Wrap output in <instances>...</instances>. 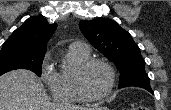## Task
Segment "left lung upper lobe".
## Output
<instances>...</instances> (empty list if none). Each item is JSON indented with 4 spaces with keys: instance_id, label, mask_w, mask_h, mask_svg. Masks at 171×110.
Returning a JSON list of instances; mask_svg holds the SVG:
<instances>
[{
    "instance_id": "5c2ea615",
    "label": "left lung upper lobe",
    "mask_w": 171,
    "mask_h": 110,
    "mask_svg": "<svg viewBox=\"0 0 171 110\" xmlns=\"http://www.w3.org/2000/svg\"><path fill=\"white\" fill-rule=\"evenodd\" d=\"M79 27L92 46L119 69V88L127 86L151 88L140 49L127 31L115 21L105 18L81 21Z\"/></svg>"
}]
</instances>
